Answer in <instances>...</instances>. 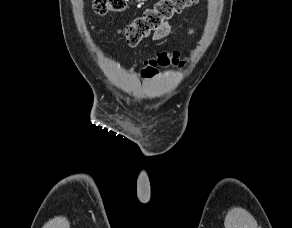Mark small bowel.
<instances>
[{"instance_id": "c3829d8e", "label": "small bowel", "mask_w": 292, "mask_h": 228, "mask_svg": "<svg viewBox=\"0 0 292 228\" xmlns=\"http://www.w3.org/2000/svg\"><path fill=\"white\" fill-rule=\"evenodd\" d=\"M170 32V25L168 24V22H165L159 30L155 31V33L153 34V39L155 41H159L162 40L163 38H165ZM191 33H193V31H190ZM178 53V52H176ZM179 54V53H178ZM134 70V67L131 68V71Z\"/></svg>"}]
</instances>
